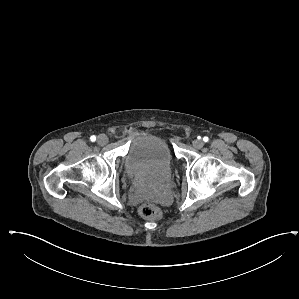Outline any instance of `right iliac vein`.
Masks as SVG:
<instances>
[{"label": "right iliac vein", "mask_w": 299, "mask_h": 299, "mask_svg": "<svg viewBox=\"0 0 299 299\" xmlns=\"http://www.w3.org/2000/svg\"><path fill=\"white\" fill-rule=\"evenodd\" d=\"M97 142L99 145H105L108 143V137L105 134H101L97 137Z\"/></svg>", "instance_id": "63e3f726"}]
</instances>
